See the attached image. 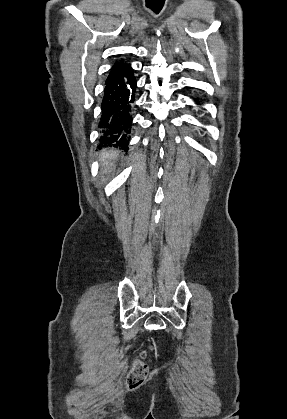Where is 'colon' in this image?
Returning <instances> with one entry per match:
<instances>
[{
	"instance_id": "colon-1",
	"label": "colon",
	"mask_w": 287,
	"mask_h": 419,
	"mask_svg": "<svg viewBox=\"0 0 287 419\" xmlns=\"http://www.w3.org/2000/svg\"><path fill=\"white\" fill-rule=\"evenodd\" d=\"M146 354L143 353L141 358L136 359L132 365L128 376V385L132 388L140 386L148 375V365L143 361Z\"/></svg>"
}]
</instances>
